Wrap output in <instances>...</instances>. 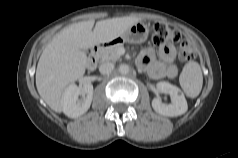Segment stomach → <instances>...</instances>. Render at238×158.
I'll use <instances>...</instances> for the list:
<instances>
[{
  "mask_svg": "<svg viewBox=\"0 0 238 158\" xmlns=\"http://www.w3.org/2000/svg\"><path fill=\"white\" fill-rule=\"evenodd\" d=\"M149 29L143 22H137L131 25L123 34L115 38V43L128 42L139 44L144 42L148 37Z\"/></svg>",
  "mask_w": 238,
  "mask_h": 158,
  "instance_id": "0dacf381",
  "label": "stomach"
}]
</instances>
